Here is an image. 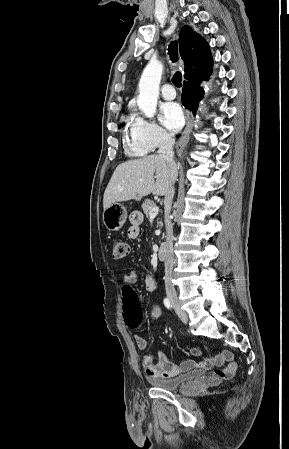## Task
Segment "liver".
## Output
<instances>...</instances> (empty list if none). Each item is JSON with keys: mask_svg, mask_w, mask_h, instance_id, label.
I'll return each mask as SVG.
<instances>
[{"mask_svg": "<svg viewBox=\"0 0 289 449\" xmlns=\"http://www.w3.org/2000/svg\"><path fill=\"white\" fill-rule=\"evenodd\" d=\"M177 174L176 165L171 168L159 154L121 163L116 167L106 187L103 208L118 202L140 201L150 193L164 196Z\"/></svg>", "mask_w": 289, "mask_h": 449, "instance_id": "1", "label": "liver"}]
</instances>
